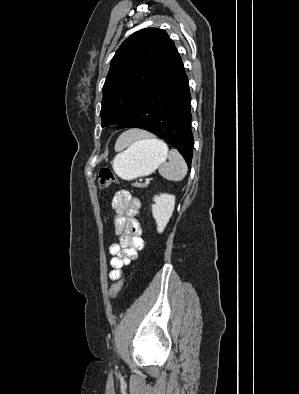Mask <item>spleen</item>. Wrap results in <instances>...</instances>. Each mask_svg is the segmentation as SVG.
<instances>
[{
    "mask_svg": "<svg viewBox=\"0 0 299 394\" xmlns=\"http://www.w3.org/2000/svg\"><path fill=\"white\" fill-rule=\"evenodd\" d=\"M124 134L119 139V148H124L127 144L123 139ZM154 145H160L168 149L167 145L158 139H145ZM169 161L159 167V173L162 177L171 181H181L187 173V164L182 155L176 150L171 149L169 152Z\"/></svg>",
    "mask_w": 299,
    "mask_h": 394,
    "instance_id": "1",
    "label": "spleen"
}]
</instances>
